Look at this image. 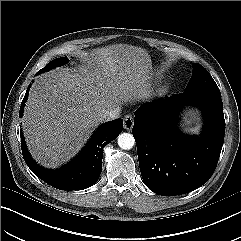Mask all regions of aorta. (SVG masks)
Wrapping results in <instances>:
<instances>
[{
	"mask_svg": "<svg viewBox=\"0 0 241 241\" xmlns=\"http://www.w3.org/2000/svg\"><path fill=\"white\" fill-rule=\"evenodd\" d=\"M118 145L121 149L129 150L135 145V139L130 133H122L118 136Z\"/></svg>",
	"mask_w": 241,
	"mask_h": 241,
	"instance_id": "aorta-1",
	"label": "aorta"
}]
</instances>
